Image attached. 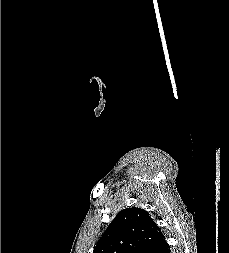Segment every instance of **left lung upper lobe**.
Here are the masks:
<instances>
[{
  "label": "left lung upper lobe",
  "instance_id": "left-lung-upper-lobe-1",
  "mask_svg": "<svg viewBox=\"0 0 229 253\" xmlns=\"http://www.w3.org/2000/svg\"><path fill=\"white\" fill-rule=\"evenodd\" d=\"M164 239L147 211L126 208L111 222L93 253H155Z\"/></svg>",
  "mask_w": 229,
  "mask_h": 253
}]
</instances>
